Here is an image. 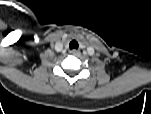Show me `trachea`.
I'll use <instances>...</instances> for the list:
<instances>
[{
    "label": "trachea",
    "instance_id": "obj_1",
    "mask_svg": "<svg viewBox=\"0 0 151 114\" xmlns=\"http://www.w3.org/2000/svg\"><path fill=\"white\" fill-rule=\"evenodd\" d=\"M79 47V44L76 40H72L70 43H69V48L72 50V49H78Z\"/></svg>",
    "mask_w": 151,
    "mask_h": 114
}]
</instances>
